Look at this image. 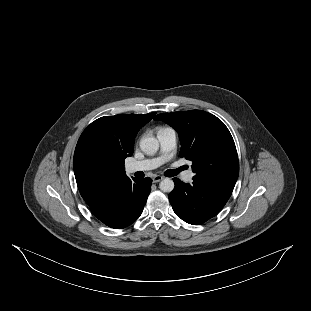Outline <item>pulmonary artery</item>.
Listing matches in <instances>:
<instances>
[{"instance_id":"obj_1","label":"pulmonary artery","mask_w":311,"mask_h":311,"mask_svg":"<svg viewBox=\"0 0 311 311\" xmlns=\"http://www.w3.org/2000/svg\"><path fill=\"white\" fill-rule=\"evenodd\" d=\"M159 144L160 154L156 158L144 159L140 161H134L126 166L128 173L146 172L153 170L167 161L173 154L176 147V132L169 127L160 128L156 132ZM194 177L192 169L186 171L182 175V179L185 182H191Z\"/></svg>"}]
</instances>
